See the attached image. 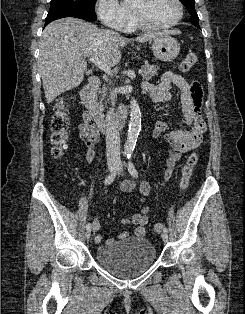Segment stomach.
<instances>
[{"mask_svg":"<svg viewBox=\"0 0 245 314\" xmlns=\"http://www.w3.org/2000/svg\"><path fill=\"white\" fill-rule=\"evenodd\" d=\"M151 48L154 56L164 62L173 61L180 52V44L169 35L155 37Z\"/></svg>","mask_w":245,"mask_h":314,"instance_id":"obj_1","label":"stomach"}]
</instances>
